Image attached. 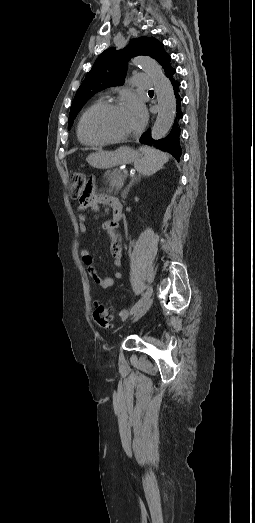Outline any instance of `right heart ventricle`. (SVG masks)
<instances>
[{
	"label": "right heart ventricle",
	"instance_id": "1",
	"mask_svg": "<svg viewBox=\"0 0 255 523\" xmlns=\"http://www.w3.org/2000/svg\"><path fill=\"white\" fill-rule=\"evenodd\" d=\"M99 102H102V99H97V100L91 102V103H90V104H89V105L84 109V111L82 112L81 117H80V119H79L78 127H77V134H78V138H79V140H80L83 144H87V145H94V144H96V142H93V141L88 140V139L83 135V133H82V131H81L80 123H81V119H82L84 113H85V112H86L90 107H92L93 105H95V104H97V103H99Z\"/></svg>",
	"mask_w": 255,
	"mask_h": 523
}]
</instances>
